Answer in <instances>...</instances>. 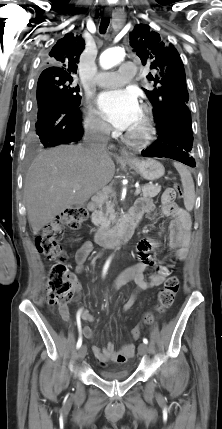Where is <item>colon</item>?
<instances>
[{
    "label": "colon",
    "mask_w": 222,
    "mask_h": 429,
    "mask_svg": "<svg viewBox=\"0 0 222 429\" xmlns=\"http://www.w3.org/2000/svg\"><path fill=\"white\" fill-rule=\"evenodd\" d=\"M177 197H182L179 186L167 188L162 200L172 203ZM87 218V211L83 207H73L63 211L57 218L50 222L35 239L37 249L55 263L49 270L46 282V302L51 306L64 307L70 302L74 293V281L71 273L65 265V254L59 245L64 229H77ZM179 291V280L176 276L169 277L163 288L159 291L155 311L162 313L174 303ZM153 314L148 313L144 323H150ZM131 336L137 340L141 336V326H136L131 331Z\"/></svg>",
    "instance_id": "5ec220e1"
}]
</instances>
